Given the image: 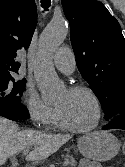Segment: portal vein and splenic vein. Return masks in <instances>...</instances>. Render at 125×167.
<instances>
[{
	"mask_svg": "<svg viewBox=\"0 0 125 167\" xmlns=\"http://www.w3.org/2000/svg\"><path fill=\"white\" fill-rule=\"evenodd\" d=\"M28 153H29V148L24 149L23 155H27ZM68 165H69V161L65 160V161L63 162V167H66V166H68Z\"/></svg>",
	"mask_w": 125,
	"mask_h": 167,
	"instance_id": "18ae733b",
	"label": "portal vein and splenic vein"
}]
</instances>
